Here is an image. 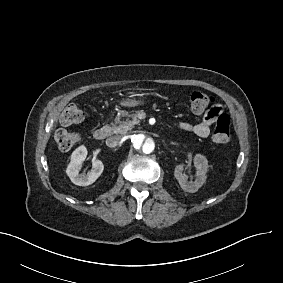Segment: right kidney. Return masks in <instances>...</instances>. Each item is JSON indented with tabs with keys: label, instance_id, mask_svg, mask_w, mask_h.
<instances>
[{
	"label": "right kidney",
	"instance_id": "right-kidney-1",
	"mask_svg": "<svg viewBox=\"0 0 283 283\" xmlns=\"http://www.w3.org/2000/svg\"><path fill=\"white\" fill-rule=\"evenodd\" d=\"M87 158V150L84 146L79 147L72 154L71 162L67 168V174L71 179L72 183L78 186H87L96 181L100 177L104 170V164L101 159L93 158L92 171L85 174L84 172L79 174L80 166Z\"/></svg>",
	"mask_w": 283,
	"mask_h": 283
}]
</instances>
